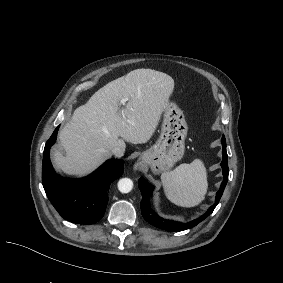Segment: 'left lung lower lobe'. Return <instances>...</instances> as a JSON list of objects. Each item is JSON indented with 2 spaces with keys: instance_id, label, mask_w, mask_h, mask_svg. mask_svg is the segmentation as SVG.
I'll list each match as a JSON object with an SVG mask.
<instances>
[{
  "instance_id": "obj_1",
  "label": "left lung lower lobe",
  "mask_w": 283,
  "mask_h": 283,
  "mask_svg": "<svg viewBox=\"0 0 283 283\" xmlns=\"http://www.w3.org/2000/svg\"><path fill=\"white\" fill-rule=\"evenodd\" d=\"M221 142L223 146V149H222L223 160L221 162V166L223 168L224 180L220 186L219 191L216 194L215 203L208 209V211L205 214H203L201 217H199L198 219H195L188 223H182V222L162 218L161 216L156 214L153 211V209L150 207L149 198L151 196L153 186L150 185L144 178H140L138 181V185H139V189L142 194V201L140 203L141 213L147 222H149L151 225L157 228L164 229L167 231L177 232V231H183V230L195 227L213 212L214 208L219 203L220 198L223 194V191L228 181V173H229L228 164H227L228 156L226 152V140H225L224 135L222 137Z\"/></svg>"
}]
</instances>
